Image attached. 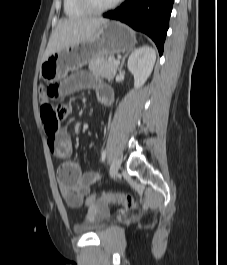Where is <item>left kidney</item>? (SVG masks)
Instances as JSON below:
<instances>
[{
	"label": "left kidney",
	"mask_w": 227,
	"mask_h": 265,
	"mask_svg": "<svg viewBox=\"0 0 227 265\" xmlns=\"http://www.w3.org/2000/svg\"><path fill=\"white\" fill-rule=\"evenodd\" d=\"M156 61L155 50L147 45L134 50L128 59V69L134 76V87L140 88L150 76Z\"/></svg>",
	"instance_id": "1"
}]
</instances>
